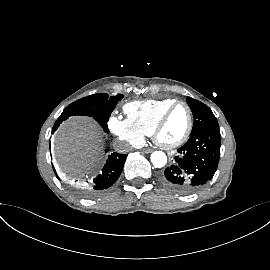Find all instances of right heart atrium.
Wrapping results in <instances>:
<instances>
[{
    "instance_id": "d8ad5b80",
    "label": "right heart atrium",
    "mask_w": 270,
    "mask_h": 270,
    "mask_svg": "<svg viewBox=\"0 0 270 270\" xmlns=\"http://www.w3.org/2000/svg\"><path fill=\"white\" fill-rule=\"evenodd\" d=\"M109 128L116 136L130 144L136 145L143 141L144 135L127 118L111 116Z\"/></svg>"
}]
</instances>
